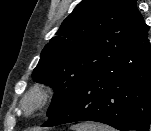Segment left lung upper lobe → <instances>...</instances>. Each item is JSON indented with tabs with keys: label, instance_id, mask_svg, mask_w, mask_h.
Here are the masks:
<instances>
[{
	"label": "left lung upper lobe",
	"instance_id": "obj_1",
	"mask_svg": "<svg viewBox=\"0 0 151 131\" xmlns=\"http://www.w3.org/2000/svg\"><path fill=\"white\" fill-rule=\"evenodd\" d=\"M136 0H83L43 48L36 82L54 88L52 117L88 75L117 67L133 50Z\"/></svg>",
	"mask_w": 151,
	"mask_h": 131
}]
</instances>
